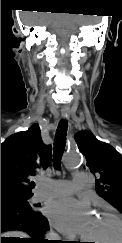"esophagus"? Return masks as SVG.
Returning a JSON list of instances; mask_svg holds the SVG:
<instances>
[{"label": "esophagus", "instance_id": "esophagus-1", "mask_svg": "<svg viewBox=\"0 0 122 243\" xmlns=\"http://www.w3.org/2000/svg\"><path fill=\"white\" fill-rule=\"evenodd\" d=\"M62 117L67 119L69 117V110L63 109L61 110Z\"/></svg>", "mask_w": 122, "mask_h": 243}]
</instances>
